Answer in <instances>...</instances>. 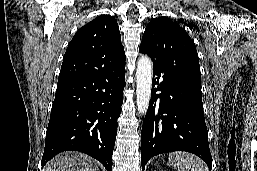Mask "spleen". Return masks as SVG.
<instances>
[{"instance_id": "1", "label": "spleen", "mask_w": 257, "mask_h": 171, "mask_svg": "<svg viewBox=\"0 0 257 171\" xmlns=\"http://www.w3.org/2000/svg\"><path fill=\"white\" fill-rule=\"evenodd\" d=\"M168 159L177 171H208L199 157L188 152L171 153Z\"/></svg>"}]
</instances>
